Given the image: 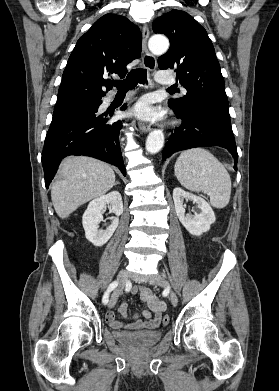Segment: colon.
<instances>
[{"mask_svg": "<svg viewBox=\"0 0 279 391\" xmlns=\"http://www.w3.org/2000/svg\"><path fill=\"white\" fill-rule=\"evenodd\" d=\"M169 322V317L167 316V315H165L164 317H163V323L164 324H167Z\"/></svg>", "mask_w": 279, "mask_h": 391, "instance_id": "colon-1", "label": "colon"}]
</instances>
